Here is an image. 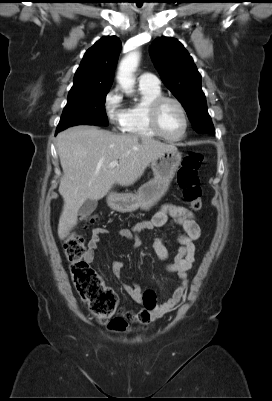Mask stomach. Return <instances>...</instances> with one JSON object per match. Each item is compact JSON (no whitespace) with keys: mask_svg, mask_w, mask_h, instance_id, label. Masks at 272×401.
Returning a JSON list of instances; mask_svg holds the SVG:
<instances>
[{"mask_svg":"<svg viewBox=\"0 0 272 401\" xmlns=\"http://www.w3.org/2000/svg\"><path fill=\"white\" fill-rule=\"evenodd\" d=\"M181 158L182 154L177 149L165 151L151 162L153 179L143 184L135 193H110L107 197L108 206L123 213L139 208L150 210L167 192Z\"/></svg>","mask_w":272,"mask_h":401,"instance_id":"stomach-1","label":"stomach"}]
</instances>
